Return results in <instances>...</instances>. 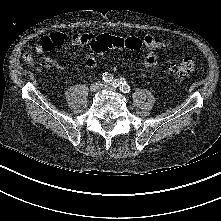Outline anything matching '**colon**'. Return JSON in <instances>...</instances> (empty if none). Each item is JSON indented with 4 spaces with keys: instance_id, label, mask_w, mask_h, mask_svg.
<instances>
[{
    "instance_id": "obj_1",
    "label": "colon",
    "mask_w": 221,
    "mask_h": 221,
    "mask_svg": "<svg viewBox=\"0 0 221 221\" xmlns=\"http://www.w3.org/2000/svg\"><path fill=\"white\" fill-rule=\"evenodd\" d=\"M91 52L94 54H103L113 49H128L130 51H139L143 46V41L135 36L121 38L103 34L97 36L90 44ZM24 60L32 61V55L25 53ZM195 69L193 58L187 56L172 64L169 68V73L173 77L184 78L190 76Z\"/></svg>"
}]
</instances>
